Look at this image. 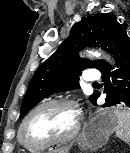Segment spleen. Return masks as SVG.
Returning <instances> with one entry per match:
<instances>
[{
    "mask_svg": "<svg viewBox=\"0 0 130 153\" xmlns=\"http://www.w3.org/2000/svg\"><path fill=\"white\" fill-rule=\"evenodd\" d=\"M117 118L116 135L130 145V109H115Z\"/></svg>",
    "mask_w": 130,
    "mask_h": 153,
    "instance_id": "spleen-1",
    "label": "spleen"
}]
</instances>
